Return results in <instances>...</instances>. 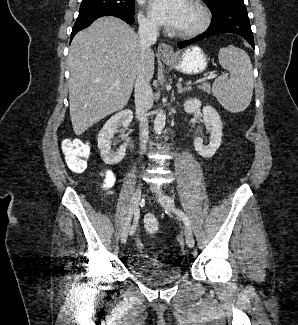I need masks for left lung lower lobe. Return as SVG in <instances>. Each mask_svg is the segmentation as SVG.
Listing matches in <instances>:
<instances>
[{"instance_id":"left-lung-lower-lobe-1","label":"left lung lower lobe","mask_w":298,"mask_h":325,"mask_svg":"<svg viewBox=\"0 0 298 325\" xmlns=\"http://www.w3.org/2000/svg\"><path fill=\"white\" fill-rule=\"evenodd\" d=\"M223 33L241 35L254 48L253 33L244 3H237L222 9L213 15L211 25L207 31L193 39L179 42L177 45L182 49L204 38Z\"/></svg>"}]
</instances>
